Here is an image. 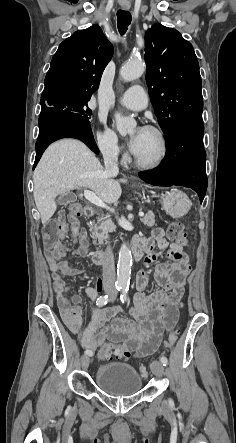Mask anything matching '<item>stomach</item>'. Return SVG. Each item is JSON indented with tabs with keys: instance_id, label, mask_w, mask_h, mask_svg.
<instances>
[{
	"instance_id": "obj_1",
	"label": "stomach",
	"mask_w": 236,
	"mask_h": 443,
	"mask_svg": "<svg viewBox=\"0 0 236 443\" xmlns=\"http://www.w3.org/2000/svg\"><path fill=\"white\" fill-rule=\"evenodd\" d=\"M162 207L171 217L180 218L189 211L190 201L184 192L174 189L163 196Z\"/></svg>"
}]
</instances>
